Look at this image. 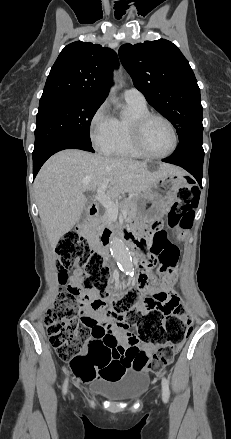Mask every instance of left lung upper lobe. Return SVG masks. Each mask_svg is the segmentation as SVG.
Listing matches in <instances>:
<instances>
[{"label": "left lung upper lobe", "instance_id": "1", "mask_svg": "<svg viewBox=\"0 0 231 439\" xmlns=\"http://www.w3.org/2000/svg\"><path fill=\"white\" fill-rule=\"evenodd\" d=\"M119 57L135 87L173 124L179 139L190 130L203 128L200 89L175 44L165 39L124 44Z\"/></svg>", "mask_w": 231, "mask_h": 439}]
</instances>
